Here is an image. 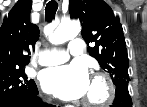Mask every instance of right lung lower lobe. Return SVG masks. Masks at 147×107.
Masks as SVG:
<instances>
[{"label":"right lung lower lobe","instance_id":"obj_1","mask_svg":"<svg viewBox=\"0 0 147 107\" xmlns=\"http://www.w3.org/2000/svg\"><path fill=\"white\" fill-rule=\"evenodd\" d=\"M37 95L38 90L34 93L20 95L0 105V107H53V105L44 103Z\"/></svg>","mask_w":147,"mask_h":107}]
</instances>
